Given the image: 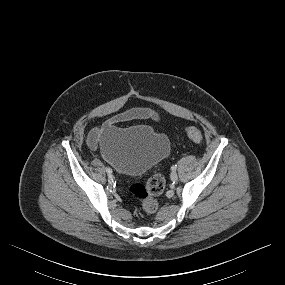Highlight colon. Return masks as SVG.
<instances>
[{"label":"colon","instance_id":"colon-1","mask_svg":"<svg viewBox=\"0 0 285 285\" xmlns=\"http://www.w3.org/2000/svg\"><path fill=\"white\" fill-rule=\"evenodd\" d=\"M186 136L193 142H201L203 134L195 126H187L184 128ZM165 188V180L161 175H154L143 183H135L130 186V195L139 200L144 211L147 213H154L158 209L157 197L163 192Z\"/></svg>","mask_w":285,"mask_h":285}]
</instances>
